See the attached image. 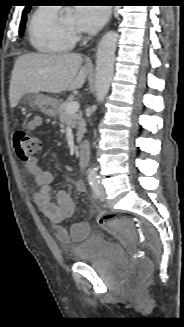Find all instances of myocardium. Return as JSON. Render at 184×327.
<instances>
[{"label":"myocardium","instance_id":"myocardium-1","mask_svg":"<svg viewBox=\"0 0 184 327\" xmlns=\"http://www.w3.org/2000/svg\"><path fill=\"white\" fill-rule=\"evenodd\" d=\"M59 26H60V28H61L64 32L70 34V35L73 36V37L76 36L77 31H76L75 29L67 28V27H65L61 22H59Z\"/></svg>","mask_w":184,"mask_h":327}]
</instances>
